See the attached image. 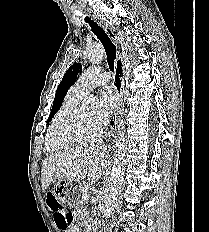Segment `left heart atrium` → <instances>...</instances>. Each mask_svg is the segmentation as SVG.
Listing matches in <instances>:
<instances>
[{"mask_svg": "<svg viewBox=\"0 0 209 232\" xmlns=\"http://www.w3.org/2000/svg\"><path fill=\"white\" fill-rule=\"evenodd\" d=\"M97 122L106 121L116 107L117 96L113 87L106 86L99 94L98 99Z\"/></svg>", "mask_w": 209, "mask_h": 232, "instance_id": "1", "label": "left heart atrium"}]
</instances>
